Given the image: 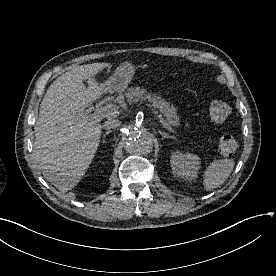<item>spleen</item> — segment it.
Returning <instances> with one entry per match:
<instances>
[{"instance_id": "spleen-1", "label": "spleen", "mask_w": 276, "mask_h": 276, "mask_svg": "<svg viewBox=\"0 0 276 276\" xmlns=\"http://www.w3.org/2000/svg\"><path fill=\"white\" fill-rule=\"evenodd\" d=\"M232 159L215 160L205 171L203 185L206 190H212L222 185L234 168Z\"/></svg>"}]
</instances>
